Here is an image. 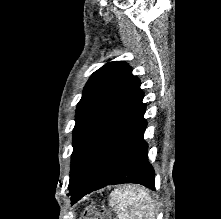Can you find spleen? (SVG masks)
<instances>
[{"label":"spleen","mask_w":221,"mask_h":219,"mask_svg":"<svg viewBox=\"0 0 221 219\" xmlns=\"http://www.w3.org/2000/svg\"><path fill=\"white\" fill-rule=\"evenodd\" d=\"M110 204L119 219H153L156 207L139 186H123L110 194Z\"/></svg>","instance_id":"3e777b00"}]
</instances>
